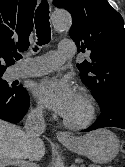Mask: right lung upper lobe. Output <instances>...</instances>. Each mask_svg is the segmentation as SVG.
Segmentation results:
<instances>
[{
  "label": "right lung upper lobe",
  "instance_id": "cb5924a9",
  "mask_svg": "<svg viewBox=\"0 0 125 167\" xmlns=\"http://www.w3.org/2000/svg\"><path fill=\"white\" fill-rule=\"evenodd\" d=\"M37 0H0V72L14 64V53L28 49Z\"/></svg>",
  "mask_w": 125,
  "mask_h": 167
}]
</instances>
